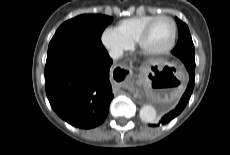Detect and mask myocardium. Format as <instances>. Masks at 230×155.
Listing matches in <instances>:
<instances>
[{
  "label": "myocardium",
  "instance_id": "1",
  "mask_svg": "<svg viewBox=\"0 0 230 155\" xmlns=\"http://www.w3.org/2000/svg\"><path fill=\"white\" fill-rule=\"evenodd\" d=\"M160 19H167L171 22L172 26H173V33H172V39L170 41V43L163 49L161 50H148L145 48V40L147 38V35L152 27V25L157 21V20H160ZM177 36H178V27H177V23L176 21L168 16V15H157L155 16L153 19H151L144 27L143 29L141 30L138 38H137V44L140 48V50L148 55V56H154V57H157V56H163V55H166L167 53H169L175 46L176 44V41H177Z\"/></svg>",
  "mask_w": 230,
  "mask_h": 155
}]
</instances>
